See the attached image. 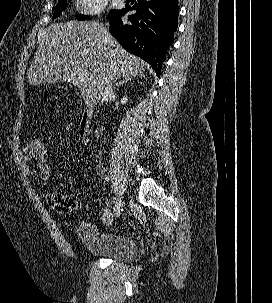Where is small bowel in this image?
<instances>
[{"label":"small bowel","instance_id":"small-bowel-1","mask_svg":"<svg viewBox=\"0 0 272 303\" xmlns=\"http://www.w3.org/2000/svg\"><path fill=\"white\" fill-rule=\"evenodd\" d=\"M21 162L26 173L39 178L44 183H49L51 180L50 170L48 172H39L36 168H32L33 152L31 143L29 142L22 150L20 154Z\"/></svg>","mask_w":272,"mask_h":303}]
</instances>
